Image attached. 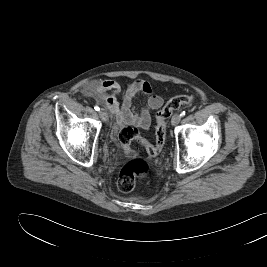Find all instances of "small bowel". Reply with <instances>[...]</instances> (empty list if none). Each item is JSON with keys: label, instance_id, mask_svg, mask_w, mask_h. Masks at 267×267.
Returning a JSON list of instances; mask_svg holds the SVG:
<instances>
[{"label": "small bowel", "instance_id": "1", "mask_svg": "<svg viewBox=\"0 0 267 267\" xmlns=\"http://www.w3.org/2000/svg\"><path fill=\"white\" fill-rule=\"evenodd\" d=\"M85 92L106 106L114 115L118 127L136 126L148 129L152 121L151 112L163 105L162 97L157 95L152 85L143 79H136L127 86L121 104L117 99L121 85L115 80L91 81L85 85ZM139 95L146 98V104L138 111L134 101Z\"/></svg>", "mask_w": 267, "mask_h": 267}]
</instances>
